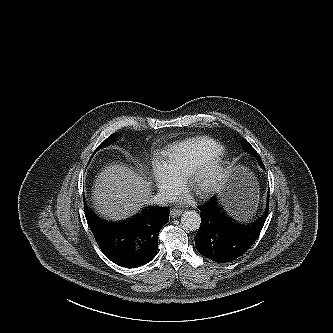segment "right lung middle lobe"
Wrapping results in <instances>:
<instances>
[{"mask_svg": "<svg viewBox=\"0 0 333 333\" xmlns=\"http://www.w3.org/2000/svg\"><path fill=\"white\" fill-rule=\"evenodd\" d=\"M114 137H115L114 134H112L111 136H109L106 140H104V141L99 145V147H98L96 150L101 149V148H104V147L110 145V144L113 142Z\"/></svg>", "mask_w": 333, "mask_h": 333, "instance_id": "dd1d6c3e", "label": "right lung middle lobe"}]
</instances>
